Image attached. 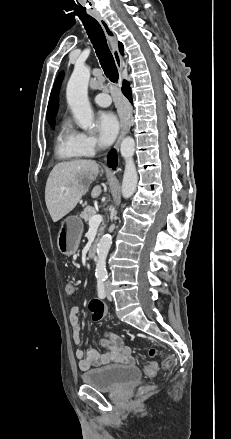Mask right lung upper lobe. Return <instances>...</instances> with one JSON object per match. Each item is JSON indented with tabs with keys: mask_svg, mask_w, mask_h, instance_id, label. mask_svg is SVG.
<instances>
[{
	"mask_svg": "<svg viewBox=\"0 0 231 439\" xmlns=\"http://www.w3.org/2000/svg\"><path fill=\"white\" fill-rule=\"evenodd\" d=\"M119 49L121 54H123V45L121 43H119ZM62 78H63V74H60L55 82V85L53 87L49 99V104L47 109V120L51 127L55 126L54 118L56 116L58 109V91Z\"/></svg>",
	"mask_w": 231,
	"mask_h": 439,
	"instance_id": "obj_1",
	"label": "right lung upper lobe"
}]
</instances>
